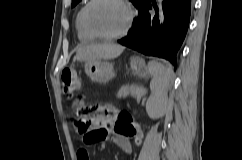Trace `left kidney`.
I'll return each mask as SVG.
<instances>
[{"label":"left kidney","mask_w":242,"mask_h":160,"mask_svg":"<svg viewBox=\"0 0 242 160\" xmlns=\"http://www.w3.org/2000/svg\"><path fill=\"white\" fill-rule=\"evenodd\" d=\"M146 111L151 119H158L165 113V107L155 100H149L146 103Z\"/></svg>","instance_id":"left-kidney-1"}]
</instances>
